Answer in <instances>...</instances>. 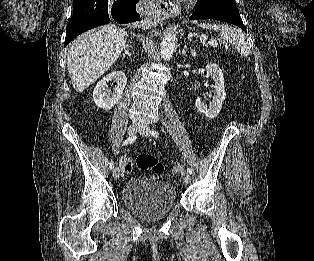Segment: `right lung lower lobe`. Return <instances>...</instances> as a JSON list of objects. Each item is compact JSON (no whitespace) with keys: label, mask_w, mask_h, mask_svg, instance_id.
Segmentation results:
<instances>
[{"label":"right lung lower lobe","mask_w":314,"mask_h":261,"mask_svg":"<svg viewBox=\"0 0 314 261\" xmlns=\"http://www.w3.org/2000/svg\"><path fill=\"white\" fill-rule=\"evenodd\" d=\"M137 2L138 0H123L112 4L111 0H76L72 18L67 25L65 46L79 34L108 24L112 17L119 23L139 20Z\"/></svg>","instance_id":"1"}]
</instances>
